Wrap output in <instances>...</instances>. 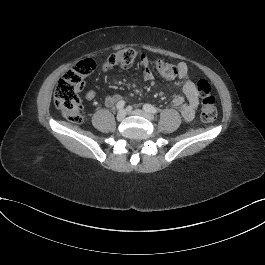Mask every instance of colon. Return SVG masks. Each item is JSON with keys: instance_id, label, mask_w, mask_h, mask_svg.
<instances>
[{"instance_id": "obj_1", "label": "colon", "mask_w": 265, "mask_h": 265, "mask_svg": "<svg viewBox=\"0 0 265 265\" xmlns=\"http://www.w3.org/2000/svg\"><path fill=\"white\" fill-rule=\"evenodd\" d=\"M137 53L132 48L120 49L108 58L110 68H129L135 61ZM158 74L166 79L173 80L178 76V66L159 60L155 63ZM96 63L93 59H84L67 70L59 80L54 92V103L66 119L75 124L83 121L82 102L79 93L85 80L94 72ZM201 98V119L206 124L216 120L217 107L215 97L211 94V87L204 79L196 83Z\"/></svg>"}]
</instances>
